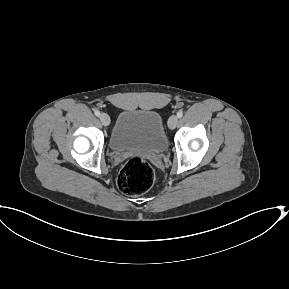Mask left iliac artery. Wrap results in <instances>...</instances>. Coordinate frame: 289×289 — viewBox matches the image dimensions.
<instances>
[{
	"label": "left iliac artery",
	"instance_id": "1",
	"mask_svg": "<svg viewBox=\"0 0 289 289\" xmlns=\"http://www.w3.org/2000/svg\"><path fill=\"white\" fill-rule=\"evenodd\" d=\"M182 116H183V111H181V110L178 111V112H177V117H178V118H181Z\"/></svg>",
	"mask_w": 289,
	"mask_h": 289
}]
</instances>
